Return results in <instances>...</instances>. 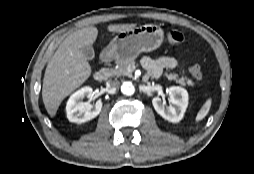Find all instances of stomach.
<instances>
[{
  "label": "stomach",
  "instance_id": "1",
  "mask_svg": "<svg viewBox=\"0 0 254 174\" xmlns=\"http://www.w3.org/2000/svg\"><path fill=\"white\" fill-rule=\"evenodd\" d=\"M164 32L156 24H147L122 31L103 50L108 60L135 59L141 52H150L162 44Z\"/></svg>",
  "mask_w": 254,
  "mask_h": 174
}]
</instances>
